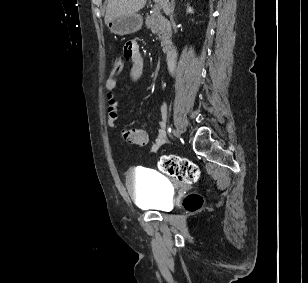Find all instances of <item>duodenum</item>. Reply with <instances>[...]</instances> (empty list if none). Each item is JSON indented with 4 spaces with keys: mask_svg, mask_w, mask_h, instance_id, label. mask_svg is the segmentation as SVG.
Returning <instances> with one entry per match:
<instances>
[{
    "mask_svg": "<svg viewBox=\"0 0 308 283\" xmlns=\"http://www.w3.org/2000/svg\"><path fill=\"white\" fill-rule=\"evenodd\" d=\"M177 56V49H172L166 54V66L170 73H173L175 71Z\"/></svg>",
    "mask_w": 308,
    "mask_h": 283,
    "instance_id": "410a0bca",
    "label": "duodenum"
}]
</instances>
